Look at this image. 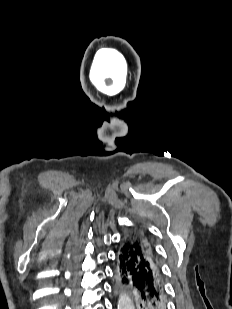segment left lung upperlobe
<instances>
[{
	"instance_id": "obj_1",
	"label": "left lung upper lobe",
	"mask_w": 232,
	"mask_h": 309,
	"mask_svg": "<svg viewBox=\"0 0 232 309\" xmlns=\"http://www.w3.org/2000/svg\"><path fill=\"white\" fill-rule=\"evenodd\" d=\"M132 234L136 238V240H138V242L141 244L145 252L154 257L155 259H157L156 251L154 249L153 243L149 235L142 229H136L132 232ZM127 292L130 293L129 291ZM133 301L136 304V300H134V298Z\"/></svg>"
}]
</instances>
